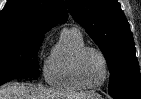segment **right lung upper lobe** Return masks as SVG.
I'll return each instance as SVG.
<instances>
[{"instance_id": "obj_1", "label": "right lung upper lobe", "mask_w": 141, "mask_h": 99, "mask_svg": "<svg viewBox=\"0 0 141 99\" xmlns=\"http://www.w3.org/2000/svg\"><path fill=\"white\" fill-rule=\"evenodd\" d=\"M63 0H8L0 12V34L18 33L44 38L51 27L67 21Z\"/></svg>"}]
</instances>
